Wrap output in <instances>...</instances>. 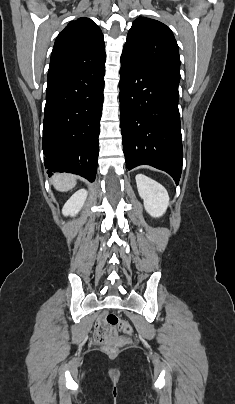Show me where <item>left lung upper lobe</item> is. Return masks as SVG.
<instances>
[{
    "label": "left lung upper lobe",
    "mask_w": 235,
    "mask_h": 404,
    "mask_svg": "<svg viewBox=\"0 0 235 404\" xmlns=\"http://www.w3.org/2000/svg\"><path fill=\"white\" fill-rule=\"evenodd\" d=\"M123 53L180 77V57L172 31L163 23L137 18L130 28Z\"/></svg>",
    "instance_id": "1"
}]
</instances>
